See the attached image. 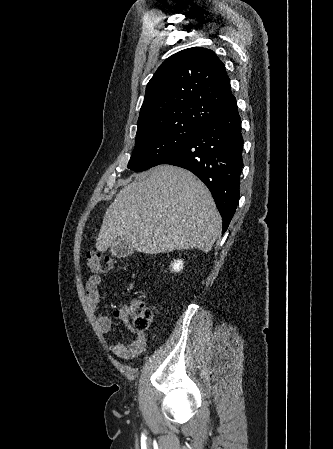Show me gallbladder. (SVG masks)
<instances>
[{"label":"gallbladder","mask_w":333,"mask_h":449,"mask_svg":"<svg viewBox=\"0 0 333 449\" xmlns=\"http://www.w3.org/2000/svg\"><path fill=\"white\" fill-rule=\"evenodd\" d=\"M110 252L113 256L122 258L133 254L135 249L129 241L120 238L117 240V243L111 247Z\"/></svg>","instance_id":"bac80fb5"}]
</instances>
